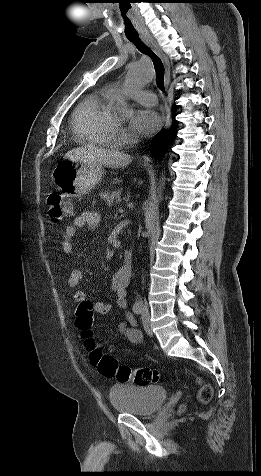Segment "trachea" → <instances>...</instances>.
I'll use <instances>...</instances> for the list:
<instances>
[{"mask_svg":"<svg viewBox=\"0 0 261 476\" xmlns=\"http://www.w3.org/2000/svg\"><path fill=\"white\" fill-rule=\"evenodd\" d=\"M127 38L137 47V49L140 52L148 55L152 59V62L156 71V84L160 90H163L164 89V66L161 59L141 41L138 35L128 36Z\"/></svg>","mask_w":261,"mask_h":476,"instance_id":"trachea-1","label":"trachea"}]
</instances>
